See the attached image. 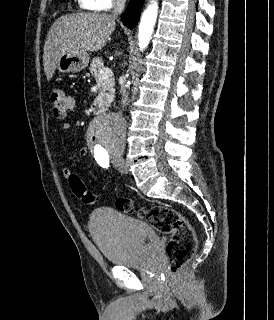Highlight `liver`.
I'll return each mask as SVG.
<instances>
[{
    "label": "liver",
    "mask_w": 274,
    "mask_h": 320,
    "mask_svg": "<svg viewBox=\"0 0 274 320\" xmlns=\"http://www.w3.org/2000/svg\"><path fill=\"white\" fill-rule=\"evenodd\" d=\"M116 18L110 14H66L55 20L44 44L43 66L47 80L55 74L61 56L71 50L98 52L106 46L116 28Z\"/></svg>",
    "instance_id": "liver-1"
}]
</instances>
